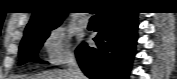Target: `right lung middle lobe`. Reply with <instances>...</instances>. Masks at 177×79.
<instances>
[{"label": "right lung middle lobe", "instance_id": "obj_1", "mask_svg": "<svg viewBox=\"0 0 177 79\" xmlns=\"http://www.w3.org/2000/svg\"><path fill=\"white\" fill-rule=\"evenodd\" d=\"M54 28L40 30L33 35L22 39L19 50V65L29 61H37V53L42 44Z\"/></svg>", "mask_w": 177, "mask_h": 79}]
</instances>
